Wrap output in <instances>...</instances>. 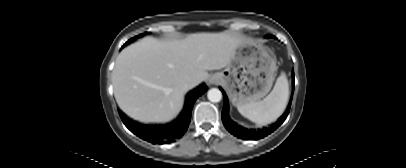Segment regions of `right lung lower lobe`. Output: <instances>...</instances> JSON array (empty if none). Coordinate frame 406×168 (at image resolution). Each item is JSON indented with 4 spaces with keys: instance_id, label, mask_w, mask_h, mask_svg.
<instances>
[{
    "instance_id": "1",
    "label": "right lung lower lobe",
    "mask_w": 406,
    "mask_h": 168,
    "mask_svg": "<svg viewBox=\"0 0 406 168\" xmlns=\"http://www.w3.org/2000/svg\"><path fill=\"white\" fill-rule=\"evenodd\" d=\"M125 46V45H124ZM207 86L202 84L187 95L184 109L171 123L165 125H143L127 118L120 110L118 111L125 126L138 137L153 144H164L174 141L183 136L190 120L193 105L196 99L206 92Z\"/></svg>"
}]
</instances>
